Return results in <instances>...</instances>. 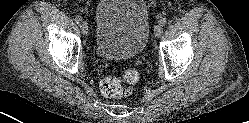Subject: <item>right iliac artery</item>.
<instances>
[{
	"instance_id": "82829eb1",
	"label": "right iliac artery",
	"mask_w": 249,
	"mask_h": 123,
	"mask_svg": "<svg viewBox=\"0 0 249 123\" xmlns=\"http://www.w3.org/2000/svg\"><path fill=\"white\" fill-rule=\"evenodd\" d=\"M75 22H76L77 24H80V23L82 22V17H81V16H76V17H75Z\"/></svg>"
}]
</instances>
